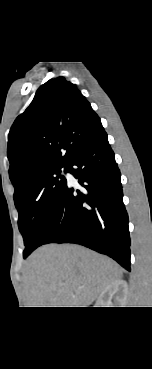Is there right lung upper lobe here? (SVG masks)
I'll return each instance as SVG.
<instances>
[{
  "mask_svg": "<svg viewBox=\"0 0 152 369\" xmlns=\"http://www.w3.org/2000/svg\"><path fill=\"white\" fill-rule=\"evenodd\" d=\"M102 129L90 103L64 77L40 86L8 136L9 178L14 196L36 175L68 164L75 152Z\"/></svg>",
  "mask_w": 152,
  "mask_h": 369,
  "instance_id": "cb5924a9",
  "label": "right lung upper lobe"
}]
</instances>
